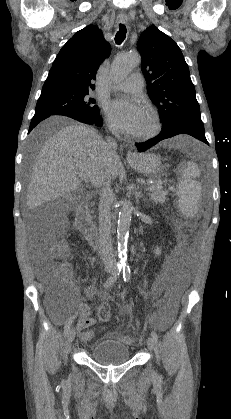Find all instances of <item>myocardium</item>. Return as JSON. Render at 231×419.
<instances>
[{"label": "myocardium", "mask_w": 231, "mask_h": 419, "mask_svg": "<svg viewBox=\"0 0 231 419\" xmlns=\"http://www.w3.org/2000/svg\"><path fill=\"white\" fill-rule=\"evenodd\" d=\"M146 114L148 115L150 119V123H151L150 127L144 132L135 134V137L137 139H141V140L150 139L154 137L155 135H157L161 129V122H160V117L158 113L154 109L148 108L146 110Z\"/></svg>", "instance_id": "myocardium-1"}]
</instances>
